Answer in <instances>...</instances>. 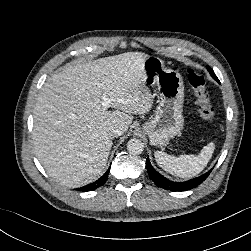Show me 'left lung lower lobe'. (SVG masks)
<instances>
[{"label":"left lung lower lobe","mask_w":251,"mask_h":251,"mask_svg":"<svg viewBox=\"0 0 251 251\" xmlns=\"http://www.w3.org/2000/svg\"><path fill=\"white\" fill-rule=\"evenodd\" d=\"M218 81V80H216ZM146 167L149 174L150 179L158 186L163 189L171 190V191H185L190 190L198 185H200L210 174L211 170L207 173L193 178L191 180L185 182H173L166 179L160 173H158L151 165L149 158L146 160Z\"/></svg>","instance_id":"left-lung-lower-lobe-1"}]
</instances>
